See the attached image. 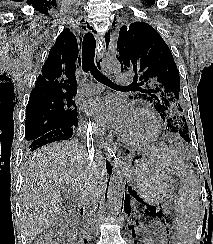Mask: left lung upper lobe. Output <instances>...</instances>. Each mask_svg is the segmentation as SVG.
I'll use <instances>...</instances> for the list:
<instances>
[{
  "instance_id": "left-lung-upper-lobe-1",
  "label": "left lung upper lobe",
  "mask_w": 213,
  "mask_h": 244,
  "mask_svg": "<svg viewBox=\"0 0 213 244\" xmlns=\"http://www.w3.org/2000/svg\"><path fill=\"white\" fill-rule=\"evenodd\" d=\"M117 52L122 71L135 73L131 86L139 92L130 98L151 102L165 122L167 131L177 133L189 142L184 101L179 94V71L160 34L144 22L122 26Z\"/></svg>"
}]
</instances>
